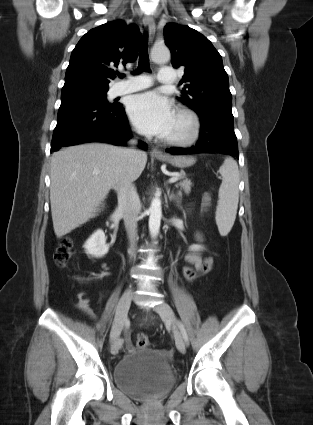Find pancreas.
I'll use <instances>...</instances> for the list:
<instances>
[{"label": "pancreas", "instance_id": "obj_1", "mask_svg": "<svg viewBox=\"0 0 313 425\" xmlns=\"http://www.w3.org/2000/svg\"><path fill=\"white\" fill-rule=\"evenodd\" d=\"M183 177H184V175H183ZM192 185H193V183L190 180L183 179L181 182H179L178 184H176V187H180L181 190H184V192L186 194H189L190 191H191ZM178 194H179V196H182V192L181 191H179Z\"/></svg>", "mask_w": 313, "mask_h": 425}]
</instances>
